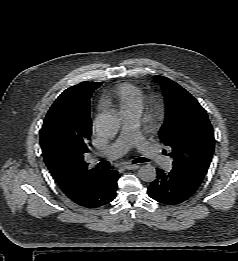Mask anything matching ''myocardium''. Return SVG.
Listing matches in <instances>:
<instances>
[{"label": "myocardium", "instance_id": "f54148a6", "mask_svg": "<svg viewBox=\"0 0 238 261\" xmlns=\"http://www.w3.org/2000/svg\"><path fill=\"white\" fill-rule=\"evenodd\" d=\"M165 113V101L161 94L151 93L145 100L144 119L149 126L158 123Z\"/></svg>", "mask_w": 238, "mask_h": 261}]
</instances>
